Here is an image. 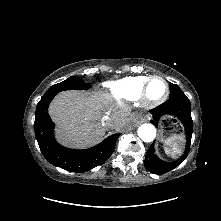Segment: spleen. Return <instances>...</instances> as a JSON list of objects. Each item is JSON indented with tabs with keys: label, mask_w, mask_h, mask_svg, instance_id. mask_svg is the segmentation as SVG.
<instances>
[{
	"label": "spleen",
	"mask_w": 221,
	"mask_h": 221,
	"mask_svg": "<svg viewBox=\"0 0 221 221\" xmlns=\"http://www.w3.org/2000/svg\"><path fill=\"white\" fill-rule=\"evenodd\" d=\"M184 141V137L182 135H175L170 137L165 143L164 151L167 155L176 157L181 153V144Z\"/></svg>",
	"instance_id": "obj_1"
}]
</instances>
